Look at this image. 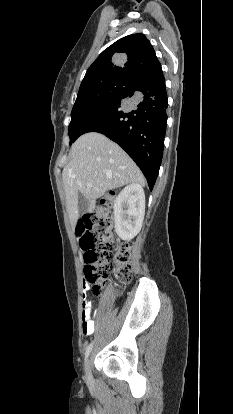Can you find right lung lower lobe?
Segmentation results:
<instances>
[{
	"label": "right lung lower lobe",
	"instance_id": "1",
	"mask_svg": "<svg viewBox=\"0 0 233 414\" xmlns=\"http://www.w3.org/2000/svg\"><path fill=\"white\" fill-rule=\"evenodd\" d=\"M125 94L90 115L78 135L102 133L119 144L153 189L163 156L167 93L163 72L137 81Z\"/></svg>",
	"mask_w": 233,
	"mask_h": 414
}]
</instances>
